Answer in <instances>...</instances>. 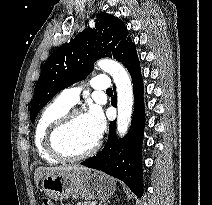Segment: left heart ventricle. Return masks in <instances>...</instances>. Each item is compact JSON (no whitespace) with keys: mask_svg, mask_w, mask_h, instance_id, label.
I'll use <instances>...</instances> for the list:
<instances>
[{"mask_svg":"<svg viewBox=\"0 0 212 205\" xmlns=\"http://www.w3.org/2000/svg\"><path fill=\"white\" fill-rule=\"evenodd\" d=\"M96 140L81 115L75 117L67 126L61 135L60 144L66 153L77 155L88 150Z\"/></svg>","mask_w":212,"mask_h":205,"instance_id":"obj_1","label":"left heart ventricle"}]
</instances>
